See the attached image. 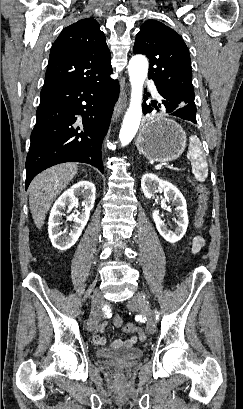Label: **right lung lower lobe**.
Instances as JSON below:
<instances>
[{
	"label": "right lung lower lobe",
	"mask_w": 243,
	"mask_h": 409,
	"mask_svg": "<svg viewBox=\"0 0 243 409\" xmlns=\"http://www.w3.org/2000/svg\"><path fill=\"white\" fill-rule=\"evenodd\" d=\"M108 72L98 80L42 89L26 158V189L44 169L83 162L104 173L101 147L119 85Z\"/></svg>",
	"instance_id": "98d812e1"
}]
</instances>
